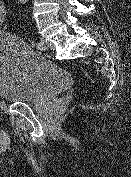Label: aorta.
Here are the masks:
<instances>
[{
  "mask_svg": "<svg viewBox=\"0 0 131 177\" xmlns=\"http://www.w3.org/2000/svg\"><path fill=\"white\" fill-rule=\"evenodd\" d=\"M28 0H19L21 3H26Z\"/></svg>",
  "mask_w": 131,
  "mask_h": 177,
  "instance_id": "aorta-1",
  "label": "aorta"
}]
</instances>
